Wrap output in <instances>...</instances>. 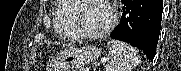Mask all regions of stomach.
I'll list each match as a JSON object with an SVG mask.
<instances>
[{"instance_id": "stomach-1", "label": "stomach", "mask_w": 181, "mask_h": 71, "mask_svg": "<svg viewBox=\"0 0 181 71\" xmlns=\"http://www.w3.org/2000/svg\"><path fill=\"white\" fill-rule=\"evenodd\" d=\"M100 50L94 46L82 48H67L52 60L51 65L54 71H74L85 64L97 60Z\"/></svg>"}]
</instances>
